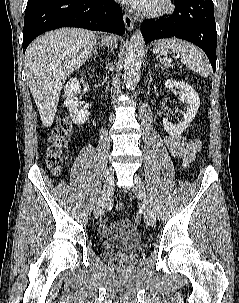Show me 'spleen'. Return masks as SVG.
Returning <instances> with one entry per match:
<instances>
[{
  "label": "spleen",
  "mask_w": 239,
  "mask_h": 303,
  "mask_svg": "<svg viewBox=\"0 0 239 303\" xmlns=\"http://www.w3.org/2000/svg\"><path fill=\"white\" fill-rule=\"evenodd\" d=\"M170 49L173 53L181 56L182 63L192 71H195L202 77H208L209 75V61L205 53L195 45L182 39H163L158 41L154 47V54L160 56L161 51ZM160 62L165 68H172V59L168 57L160 58Z\"/></svg>",
  "instance_id": "obj_1"
}]
</instances>
